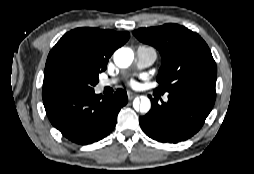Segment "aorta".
I'll list each match as a JSON object with an SVG mask.
<instances>
[{
  "label": "aorta",
  "mask_w": 254,
  "mask_h": 174,
  "mask_svg": "<svg viewBox=\"0 0 254 174\" xmlns=\"http://www.w3.org/2000/svg\"><path fill=\"white\" fill-rule=\"evenodd\" d=\"M134 59V53L130 48L122 47L114 53V62L120 68L129 67ZM135 110L141 113L149 112L151 108V102L148 97L141 96L140 99L136 98L133 102Z\"/></svg>",
  "instance_id": "1"
}]
</instances>
